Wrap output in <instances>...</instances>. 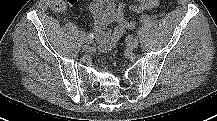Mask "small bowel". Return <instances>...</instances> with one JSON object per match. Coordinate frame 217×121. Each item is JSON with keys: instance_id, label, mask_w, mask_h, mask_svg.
I'll use <instances>...</instances> for the list:
<instances>
[{"instance_id": "c3829d8e", "label": "small bowel", "mask_w": 217, "mask_h": 121, "mask_svg": "<svg viewBox=\"0 0 217 121\" xmlns=\"http://www.w3.org/2000/svg\"><path fill=\"white\" fill-rule=\"evenodd\" d=\"M159 0H135L130 6L134 13L149 11L157 7ZM90 11L94 20V31L99 48L108 51L120 40L127 30L136 27V21L124 14V4L117 0H91ZM115 24L109 29L110 24Z\"/></svg>"}]
</instances>
